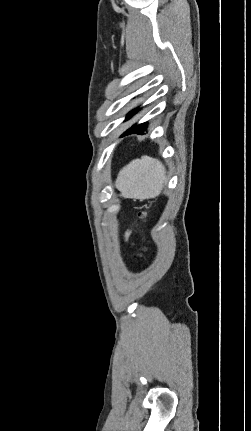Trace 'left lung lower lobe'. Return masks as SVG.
I'll return each mask as SVG.
<instances>
[{
    "instance_id": "1",
    "label": "left lung lower lobe",
    "mask_w": 251,
    "mask_h": 431,
    "mask_svg": "<svg viewBox=\"0 0 251 431\" xmlns=\"http://www.w3.org/2000/svg\"><path fill=\"white\" fill-rule=\"evenodd\" d=\"M136 113V110H133L130 112V114L127 115L126 120H128L129 118H131V116H133ZM146 129V123L140 124V125H135L132 128L128 129L127 132H125L124 135L129 134V133H141Z\"/></svg>"
}]
</instances>
